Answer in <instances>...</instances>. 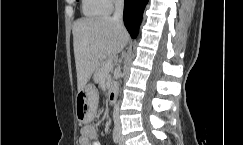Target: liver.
<instances>
[{"mask_svg": "<svg viewBox=\"0 0 243 145\" xmlns=\"http://www.w3.org/2000/svg\"><path fill=\"white\" fill-rule=\"evenodd\" d=\"M129 39L125 27L110 17L78 19L73 24V46L78 91L85 88L99 61L115 56Z\"/></svg>", "mask_w": 243, "mask_h": 145, "instance_id": "obj_1", "label": "liver"}]
</instances>
